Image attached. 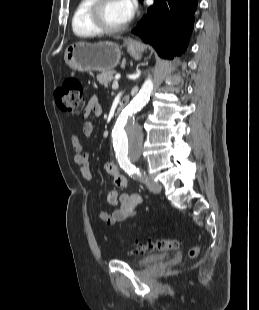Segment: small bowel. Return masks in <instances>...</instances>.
<instances>
[{
  "mask_svg": "<svg viewBox=\"0 0 259 310\" xmlns=\"http://www.w3.org/2000/svg\"><path fill=\"white\" fill-rule=\"evenodd\" d=\"M102 113V106L96 97L90 98L85 108V116L95 115L99 116ZM82 132L86 137H89L93 132V124L85 122L82 127ZM71 148L73 151V161L79 167L82 178L87 182H92L93 174L89 165V155L82 151L83 145L78 135L71 136ZM105 172L113 177L115 189L107 194V202L117 208L112 212L100 211L99 219L108 224L114 225L119 222L135 216L138 211V206L141 203L140 195L136 193L120 192L119 189L128 188V181L122 175L117 165L112 161H105L103 163Z\"/></svg>",
  "mask_w": 259,
  "mask_h": 310,
  "instance_id": "obj_1",
  "label": "small bowel"
}]
</instances>
